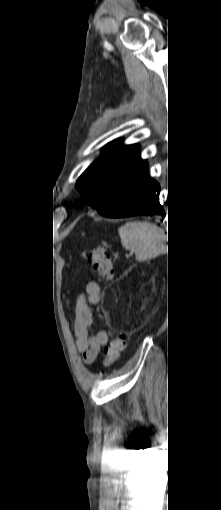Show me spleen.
Wrapping results in <instances>:
<instances>
[{
  "mask_svg": "<svg viewBox=\"0 0 221 510\" xmlns=\"http://www.w3.org/2000/svg\"><path fill=\"white\" fill-rule=\"evenodd\" d=\"M123 247L135 253L138 261H145L166 249L164 231L148 222H128L118 229Z\"/></svg>",
  "mask_w": 221,
  "mask_h": 510,
  "instance_id": "spleen-1",
  "label": "spleen"
}]
</instances>
